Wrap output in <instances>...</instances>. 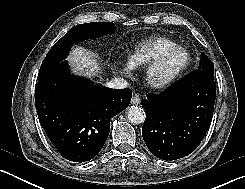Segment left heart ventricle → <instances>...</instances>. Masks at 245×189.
<instances>
[{"label":"left heart ventricle","instance_id":"1","mask_svg":"<svg viewBox=\"0 0 245 189\" xmlns=\"http://www.w3.org/2000/svg\"><path fill=\"white\" fill-rule=\"evenodd\" d=\"M186 60V53L184 51L174 52L167 59L165 66L163 67L161 74L169 73L178 68Z\"/></svg>","mask_w":245,"mask_h":189}]
</instances>
